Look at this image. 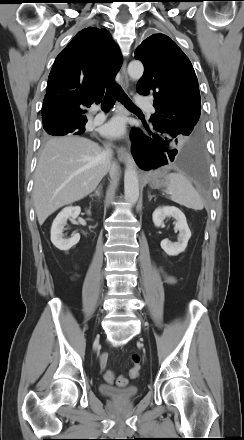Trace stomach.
Instances as JSON below:
<instances>
[{
    "mask_svg": "<svg viewBox=\"0 0 244 440\" xmlns=\"http://www.w3.org/2000/svg\"><path fill=\"white\" fill-rule=\"evenodd\" d=\"M167 169H158L149 173V183L152 188H160L167 184Z\"/></svg>",
    "mask_w": 244,
    "mask_h": 440,
    "instance_id": "0dacf381",
    "label": "stomach"
}]
</instances>
